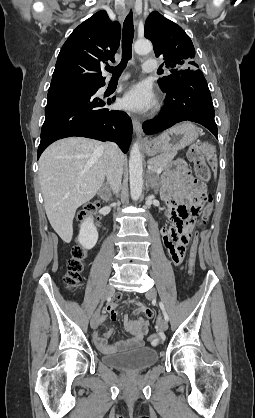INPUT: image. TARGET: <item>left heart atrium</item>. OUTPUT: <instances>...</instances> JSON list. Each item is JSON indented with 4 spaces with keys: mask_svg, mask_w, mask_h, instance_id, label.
<instances>
[{
    "mask_svg": "<svg viewBox=\"0 0 255 418\" xmlns=\"http://www.w3.org/2000/svg\"><path fill=\"white\" fill-rule=\"evenodd\" d=\"M122 104L128 110L142 112L150 109L155 104V98L150 87L140 83L125 93Z\"/></svg>",
    "mask_w": 255,
    "mask_h": 418,
    "instance_id": "39dd6f15",
    "label": "left heart atrium"
}]
</instances>
